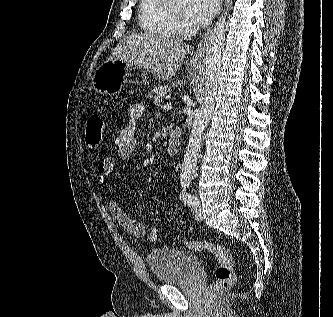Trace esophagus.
I'll return each instance as SVG.
<instances>
[{
	"mask_svg": "<svg viewBox=\"0 0 333 317\" xmlns=\"http://www.w3.org/2000/svg\"><path fill=\"white\" fill-rule=\"evenodd\" d=\"M222 2L223 0H219V7L221 9L222 7ZM212 29H209L207 31V33H205V35L203 36V38L201 39L200 43L198 44L196 50L193 53V58L198 60L201 59L205 56V52H206V47H207V42H208V37L211 33Z\"/></svg>",
	"mask_w": 333,
	"mask_h": 317,
	"instance_id": "esophagus-1",
	"label": "esophagus"
}]
</instances>
